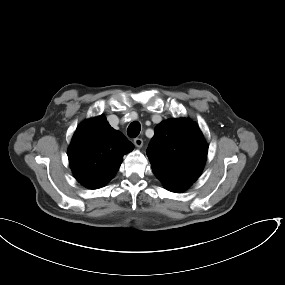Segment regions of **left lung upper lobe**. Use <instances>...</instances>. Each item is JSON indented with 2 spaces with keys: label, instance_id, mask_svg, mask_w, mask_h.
I'll return each mask as SVG.
<instances>
[{
  "label": "left lung upper lobe",
  "instance_id": "left-lung-upper-lobe-1",
  "mask_svg": "<svg viewBox=\"0 0 285 285\" xmlns=\"http://www.w3.org/2000/svg\"><path fill=\"white\" fill-rule=\"evenodd\" d=\"M208 146L190 119H169L155 127L146 151L157 178L193 184L203 170Z\"/></svg>",
  "mask_w": 285,
  "mask_h": 285
}]
</instances>
